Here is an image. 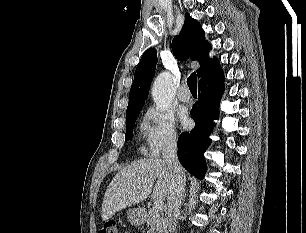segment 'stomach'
<instances>
[{
    "instance_id": "obj_1",
    "label": "stomach",
    "mask_w": 306,
    "mask_h": 233,
    "mask_svg": "<svg viewBox=\"0 0 306 233\" xmlns=\"http://www.w3.org/2000/svg\"><path fill=\"white\" fill-rule=\"evenodd\" d=\"M127 217L129 222L134 226L141 225L145 220L143 211L139 208L129 209L127 212Z\"/></svg>"
}]
</instances>
